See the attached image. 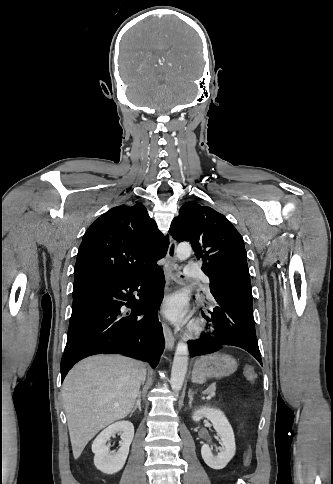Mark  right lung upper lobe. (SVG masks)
<instances>
[{
    "instance_id": "right-lung-upper-lobe-1",
    "label": "right lung upper lobe",
    "mask_w": 333,
    "mask_h": 484,
    "mask_svg": "<svg viewBox=\"0 0 333 484\" xmlns=\"http://www.w3.org/2000/svg\"><path fill=\"white\" fill-rule=\"evenodd\" d=\"M169 245L142 203L114 207L87 229L78 250L74 283L133 279L156 266Z\"/></svg>"
}]
</instances>
